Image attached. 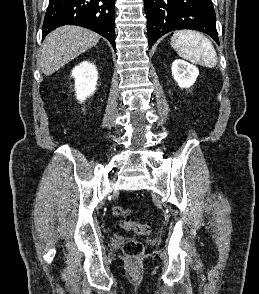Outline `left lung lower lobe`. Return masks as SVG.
<instances>
[{"label":"left lung lower lobe","mask_w":259,"mask_h":294,"mask_svg":"<svg viewBox=\"0 0 259 294\" xmlns=\"http://www.w3.org/2000/svg\"><path fill=\"white\" fill-rule=\"evenodd\" d=\"M149 46L164 34L193 29L210 35L219 44L216 15L211 0H144Z\"/></svg>","instance_id":"1"}]
</instances>
